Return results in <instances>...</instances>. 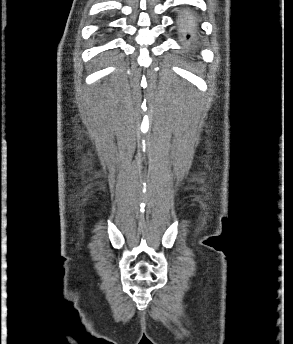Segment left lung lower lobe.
Segmentation results:
<instances>
[{"label":"left lung lower lobe","mask_w":293,"mask_h":344,"mask_svg":"<svg viewBox=\"0 0 293 344\" xmlns=\"http://www.w3.org/2000/svg\"><path fill=\"white\" fill-rule=\"evenodd\" d=\"M187 25H188V23H187ZM189 36H190V35H187L186 37L189 38Z\"/></svg>","instance_id":"1"}]
</instances>
